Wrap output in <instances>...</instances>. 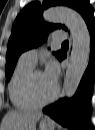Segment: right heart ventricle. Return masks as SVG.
<instances>
[{"label": "right heart ventricle", "instance_id": "e07e8e85", "mask_svg": "<svg viewBox=\"0 0 95 130\" xmlns=\"http://www.w3.org/2000/svg\"><path fill=\"white\" fill-rule=\"evenodd\" d=\"M34 65L21 59L17 63L9 84V96L12 104L19 110H32L38 106L28 97L26 91L27 80Z\"/></svg>", "mask_w": 95, "mask_h": 130}]
</instances>
